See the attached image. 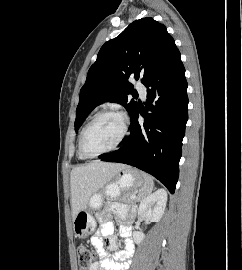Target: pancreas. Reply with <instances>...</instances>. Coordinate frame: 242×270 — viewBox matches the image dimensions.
Returning a JSON list of instances; mask_svg holds the SVG:
<instances>
[{
  "instance_id": "1",
  "label": "pancreas",
  "mask_w": 242,
  "mask_h": 270,
  "mask_svg": "<svg viewBox=\"0 0 242 270\" xmlns=\"http://www.w3.org/2000/svg\"><path fill=\"white\" fill-rule=\"evenodd\" d=\"M136 193H125L123 196V201L128 204H135V200L133 197H135Z\"/></svg>"
}]
</instances>
